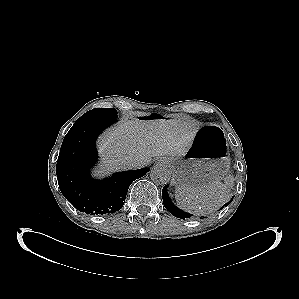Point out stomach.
<instances>
[{"label":"stomach","mask_w":299,"mask_h":299,"mask_svg":"<svg viewBox=\"0 0 299 299\" xmlns=\"http://www.w3.org/2000/svg\"><path fill=\"white\" fill-rule=\"evenodd\" d=\"M165 161L176 182L190 188H203L220 181L230 168L226 139L221 129L214 124H206L198 129L184 156L167 157Z\"/></svg>","instance_id":"1"}]
</instances>
